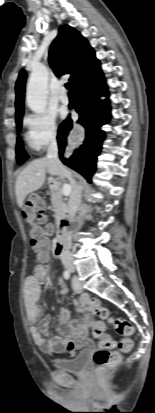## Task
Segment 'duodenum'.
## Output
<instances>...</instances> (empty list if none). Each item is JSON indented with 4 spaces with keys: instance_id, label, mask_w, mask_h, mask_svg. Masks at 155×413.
<instances>
[{
    "instance_id": "obj_1",
    "label": "duodenum",
    "mask_w": 155,
    "mask_h": 413,
    "mask_svg": "<svg viewBox=\"0 0 155 413\" xmlns=\"http://www.w3.org/2000/svg\"><path fill=\"white\" fill-rule=\"evenodd\" d=\"M67 233V221L62 220L57 228L56 232V241H55V254L59 257L62 258L65 254V249H66V242H65V237Z\"/></svg>"
}]
</instances>
